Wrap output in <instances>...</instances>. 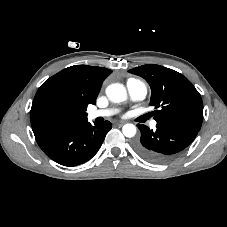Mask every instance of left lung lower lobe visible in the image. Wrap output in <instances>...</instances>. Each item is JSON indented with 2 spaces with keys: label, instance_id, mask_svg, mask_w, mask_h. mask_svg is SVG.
Listing matches in <instances>:
<instances>
[{
  "label": "left lung lower lobe",
  "instance_id": "0a47b994",
  "mask_svg": "<svg viewBox=\"0 0 227 227\" xmlns=\"http://www.w3.org/2000/svg\"><path fill=\"white\" fill-rule=\"evenodd\" d=\"M137 126L141 138L134 143L133 148L143 159L156 164L171 160L194 140L199 131L177 123L157 122L155 131L145 125Z\"/></svg>",
  "mask_w": 227,
  "mask_h": 227
}]
</instances>
